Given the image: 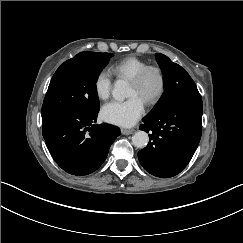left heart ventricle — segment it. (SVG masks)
Segmentation results:
<instances>
[{"instance_id":"b2bd125f","label":"left heart ventricle","mask_w":243,"mask_h":243,"mask_svg":"<svg viewBox=\"0 0 243 243\" xmlns=\"http://www.w3.org/2000/svg\"><path fill=\"white\" fill-rule=\"evenodd\" d=\"M161 80L156 71H150L143 82L135 85L130 82L128 96L138 95L146 103L149 99L155 97L160 89Z\"/></svg>"}]
</instances>
